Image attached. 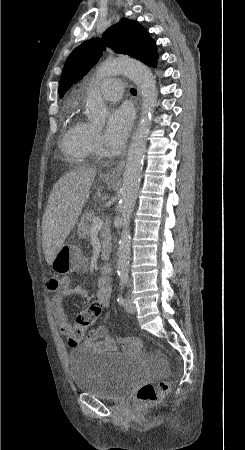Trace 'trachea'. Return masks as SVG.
Instances as JSON below:
<instances>
[{
  "mask_svg": "<svg viewBox=\"0 0 245 450\" xmlns=\"http://www.w3.org/2000/svg\"><path fill=\"white\" fill-rule=\"evenodd\" d=\"M130 92H131L132 94H134V95H136V93H137V91H136L135 88H131V89H130Z\"/></svg>",
  "mask_w": 245,
  "mask_h": 450,
  "instance_id": "3493384b",
  "label": "trachea"
}]
</instances>
